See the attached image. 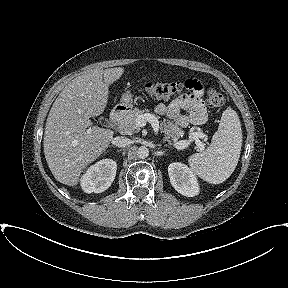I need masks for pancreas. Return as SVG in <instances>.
Listing matches in <instances>:
<instances>
[{"label": "pancreas", "mask_w": 288, "mask_h": 288, "mask_svg": "<svg viewBox=\"0 0 288 288\" xmlns=\"http://www.w3.org/2000/svg\"><path fill=\"white\" fill-rule=\"evenodd\" d=\"M143 113L144 110L134 108L133 110H129L123 117L119 118L118 127L120 133L125 135H131L132 133L138 132L139 128L135 125L136 118ZM160 129L164 133V140L168 141V143L173 146L177 142L178 137L184 134V132L179 128V126L177 124H174L170 120H164L160 124ZM192 137L193 133H190L189 139H192Z\"/></svg>", "instance_id": "pancreas-1"}]
</instances>
